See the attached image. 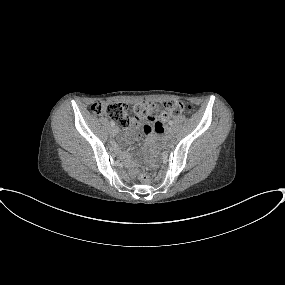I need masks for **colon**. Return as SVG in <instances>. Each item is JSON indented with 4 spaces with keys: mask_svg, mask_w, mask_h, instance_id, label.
<instances>
[{
    "mask_svg": "<svg viewBox=\"0 0 285 285\" xmlns=\"http://www.w3.org/2000/svg\"><path fill=\"white\" fill-rule=\"evenodd\" d=\"M91 110L97 115H106L118 126L126 127L130 123L129 108L122 103L97 101L91 105ZM132 115L145 117L154 121H166L171 117L178 116L182 112H193L194 106L182 101L166 102L161 110H157L154 103L140 102L132 107ZM143 181H148L149 176L146 173H140Z\"/></svg>",
    "mask_w": 285,
    "mask_h": 285,
    "instance_id": "colon-1",
    "label": "colon"
}]
</instances>
